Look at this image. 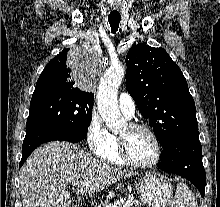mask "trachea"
Listing matches in <instances>:
<instances>
[{"mask_svg": "<svg viewBox=\"0 0 220 207\" xmlns=\"http://www.w3.org/2000/svg\"><path fill=\"white\" fill-rule=\"evenodd\" d=\"M108 21L110 23L112 33H116L121 21V17H108Z\"/></svg>", "mask_w": 220, "mask_h": 207, "instance_id": "3493384b", "label": "trachea"}]
</instances>
